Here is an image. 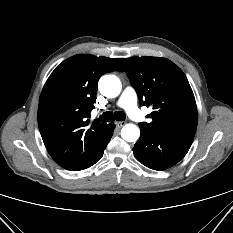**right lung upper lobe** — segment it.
I'll use <instances>...</instances> for the list:
<instances>
[{
  "mask_svg": "<svg viewBox=\"0 0 233 233\" xmlns=\"http://www.w3.org/2000/svg\"><path fill=\"white\" fill-rule=\"evenodd\" d=\"M123 71L118 58L75 55L52 72L39 98V130L51 157L61 167L78 171L95 159L107 124L87 118L96 102L99 78Z\"/></svg>",
  "mask_w": 233,
  "mask_h": 233,
  "instance_id": "obj_1",
  "label": "right lung upper lobe"
}]
</instances>
